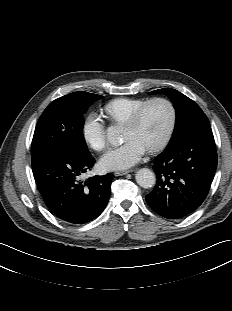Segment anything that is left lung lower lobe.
Listing matches in <instances>:
<instances>
[{"label":"left lung lower lobe","mask_w":232,"mask_h":311,"mask_svg":"<svg viewBox=\"0 0 232 311\" xmlns=\"http://www.w3.org/2000/svg\"><path fill=\"white\" fill-rule=\"evenodd\" d=\"M217 167L210 124L189 131L160 153L153 169L157 176L146 202L168 219L182 218L205 200Z\"/></svg>","instance_id":"obj_1"}]
</instances>
